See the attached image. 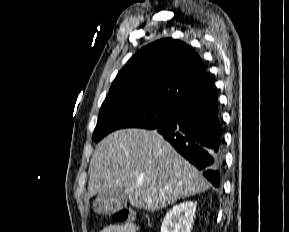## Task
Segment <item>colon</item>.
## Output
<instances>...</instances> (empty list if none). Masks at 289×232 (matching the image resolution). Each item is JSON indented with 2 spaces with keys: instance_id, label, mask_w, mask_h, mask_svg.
<instances>
[{
  "instance_id": "1",
  "label": "colon",
  "mask_w": 289,
  "mask_h": 232,
  "mask_svg": "<svg viewBox=\"0 0 289 232\" xmlns=\"http://www.w3.org/2000/svg\"><path fill=\"white\" fill-rule=\"evenodd\" d=\"M113 220L117 225H125L131 222L133 213L128 209H121L113 213Z\"/></svg>"
}]
</instances>
